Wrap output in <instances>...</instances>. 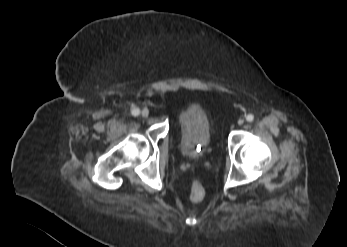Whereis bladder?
Wrapping results in <instances>:
<instances>
[{
    "label": "bladder",
    "instance_id": "1",
    "mask_svg": "<svg viewBox=\"0 0 347 247\" xmlns=\"http://www.w3.org/2000/svg\"><path fill=\"white\" fill-rule=\"evenodd\" d=\"M180 149L188 159H198L211 144V126L203 109L196 103L180 112Z\"/></svg>",
    "mask_w": 347,
    "mask_h": 247
}]
</instances>
